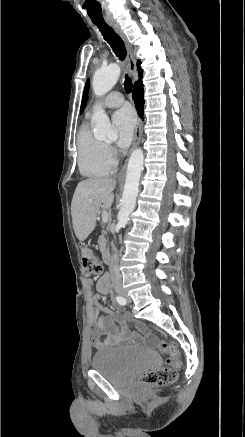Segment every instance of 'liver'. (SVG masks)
<instances>
[{
	"mask_svg": "<svg viewBox=\"0 0 245 437\" xmlns=\"http://www.w3.org/2000/svg\"><path fill=\"white\" fill-rule=\"evenodd\" d=\"M116 181L111 178H91L78 183L71 203L73 229L79 241H84L95 229L100 207L110 209ZM89 199H93L90 203Z\"/></svg>",
	"mask_w": 245,
	"mask_h": 437,
	"instance_id": "6515ba94",
	"label": "liver"
}]
</instances>
